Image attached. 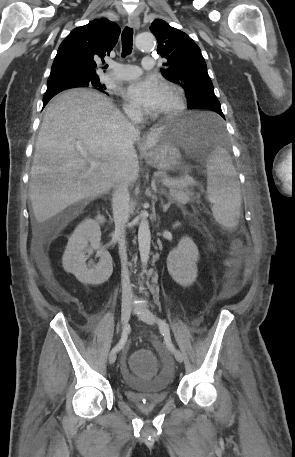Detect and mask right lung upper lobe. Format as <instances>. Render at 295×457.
Returning <instances> with one entry per match:
<instances>
[{
    "label": "right lung upper lobe",
    "mask_w": 295,
    "mask_h": 457,
    "mask_svg": "<svg viewBox=\"0 0 295 457\" xmlns=\"http://www.w3.org/2000/svg\"><path fill=\"white\" fill-rule=\"evenodd\" d=\"M120 28L106 18L73 29L60 44L47 84L67 82L83 86L97 77L100 59L110 54L118 41Z\"/></svg>",
    "instance_id": "1"
}]
</instances>
